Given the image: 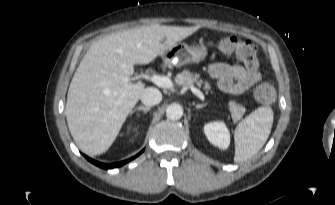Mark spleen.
Wrapping results in <instances>:
<instances>
[{"instance_id": "3e777b00", "label": "spleen", "mask_w": 335, "mask_h": 205, "mask_svg": "<svg viewBox=\"0 0 335 205\" xmlns=\"http://www.w3.org/2000/svg\"><path fill=\"white\" fill-rule=\"evenodd\" d=\"M273 125V110L259 107L243 119L234 131V162L249 160L264 146Z\"/></svg>"}]
</instances>
